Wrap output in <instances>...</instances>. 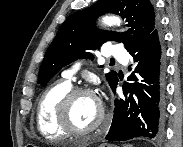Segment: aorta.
I'll use <instances>...</instances> for the list:
<instances>
[{"instance_id":"aorta-1","label":"aorta","mask_w":183,"mask_h":147,"mask_svg":"<svg viewBox=\"0 0 183 147\" xmlns=\"http://www.w3.org/2000/svg\"><path fill=\"white\" fill-rule=\"evenodd\" d=\"M102 22L107 26H119L121 24V20L116 16H105Z\"/></svg>"}]
</instances>
